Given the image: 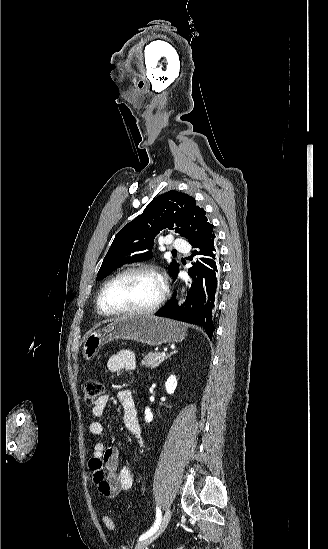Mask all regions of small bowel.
Wrapping results in <instances>:
<instances>
[{
  "mask_svg": "<svg viewBox=\"0 0 328 549\" xmlns=\"http://www.w3.org/2000/svg\"><path fill=\"white\" fill-rule=\"evenodd\" d=\"M135 367V354L129 350H121L110 356L107 361V369L110 372L134 370ZM117 397L124 411L123 420L126 429L143 446L138 410L131 391L122 388ZM108 403L109 395H101L92 407L93 417L103 418ZM89 432L94 436H101L104 433V426L100 421H93L89 424ZM88 466L97 490L107 498H114L133 486L134 473L130 467L119 464V450L115 446L106 447L103 442H96Z\"/></svg>",
  "mask_w": 328,
  "mask_h": 549,
  "instance_id": "c3829d8e",
  "label": "small bowel"
}]
</instances>
